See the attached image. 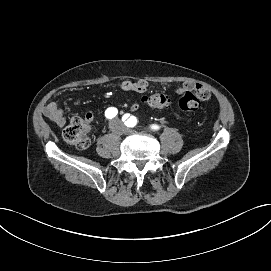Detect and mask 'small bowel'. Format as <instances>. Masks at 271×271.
<instances>
[{
  "label": "small bowel",
  "instance_id": "obj_1",
  "mask_svg": "<svg viewBox=\"0 0 271 271\" xmlns=\"http://www.w3.org/2000/svg\"><path fill=\"white\" fill-rule=\"evenodd\" d=\"M196 84L193 82H184L182 86L177 88V93L178 94H184L186 92L192 91L195 88ZM148 88V83L144 80H139V81H129L126 80L122 82L121 84V89L124 92H137V93H144ZM131 110L136 111L139 109V104L136 102H133L130 105ZM43 114L44 116L54 123L55 125L62 127L66 123V117L63 114V111L57 106L55 102H50L48 103L44 108H43ZM93 119V113L88 112L85 116V121L90 125Z\"/></svg>",
  "mask_w": 271,
  "mask_h": 271
}]
</instances>
